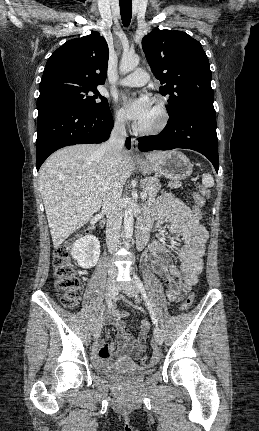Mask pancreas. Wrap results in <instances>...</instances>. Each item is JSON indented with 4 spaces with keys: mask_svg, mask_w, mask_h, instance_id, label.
<instances>
[{
    "mask_svg": "<svg viewBox=\"0 0 259 431\" xmlns=\"http://www.w3.org/2000/svg\"><path fill=\"white\" fill-rule=\"evenodd\" d=\"M142 188L147 193V198L151 199L156 197L159 192L161 185L159 183V179L157 177H148L140 181ZM181 186V183L178 181L169 182L168 187L177 188Z\"/></svg>",
    "mask_w": 259,
    "mask_h": 431,
    "instance_id": "pancreas-1",
    "label": "pancreas"
}]
</instances>
